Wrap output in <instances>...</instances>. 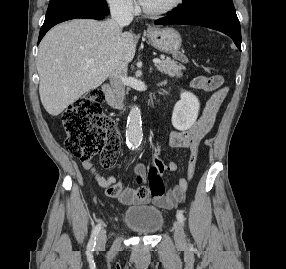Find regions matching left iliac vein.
Wrapping results in <instances>:
<instances>
[{"mask_svg": "<svg viewBox=\"0 0 286 269\" xmlns=\"http://www.w3.org/2000/svg\"><path fill=\"white\" fill-rule=\"evenodd\" d=\"M174 239L177 245L183 246L186 243L185 232L182 224L179 221H175L173 225Z\"/></svg>", "mask_w": 286, "mask_h": 269, "instance_id": "1", "label": "left iliac vein"}]
</instances>
